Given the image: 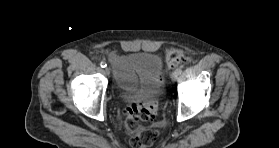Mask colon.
Listing matches in <instances>:
<instances>
[{
	"mask_svg": "<svg viewBox=\"0 0 279 148\" xmlns=\"http://www.w3.org/2000/svg\"><path fill=\"white\" fill-rule=\"evenodd\" d=\"M187 60L181 49L171 48L166 53L168 68H175ZM158 110L156 100L144 104H132L125 110L124 131L130 135L133 148H148L160 137L159 123L155 120Z\"/></svg>",
	"mask_w": 279,
	"mask_h": 148,
	"instance_id": "1",
	"label": "colon"
}]
</instances>
